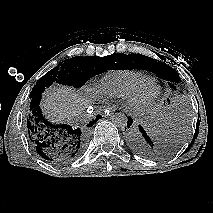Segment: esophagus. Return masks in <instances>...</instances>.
<instances>
[{
    "label": "esophagus",
    "instance_id": "esophagus-1",
    "mask_svg": "<svg viewBox=\"0 0 213 213\" xmlns=\"http://www.w3.org/2000/svg\"><path fill=\"white\" fill-rule=\"evenodd\" d=\"M118 112H119V110L115 107H109L108 109L105 110V114L109 115V116H111L115 113H118Z\"/></svg>",
    "mask_w": 213,
    "mask_h": 213
}]
</instances>
